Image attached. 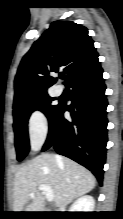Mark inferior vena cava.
<instances>
[{
  "label": "inferior vena cava",
  "mask_w": 123,
  "mask_h": 219,
  "mask_svg": "<svg viewBox=\"0 0 123 219\" xmlns=\"http://www.w3.org/2000/svg\"><path fill=\"white\" fill-rule=\"evenodd\" d=\"M64 209H65V205H62V206H61V211L63 212Z\"/></svg>",
  "instance_id": "1"
}]
</instances>
